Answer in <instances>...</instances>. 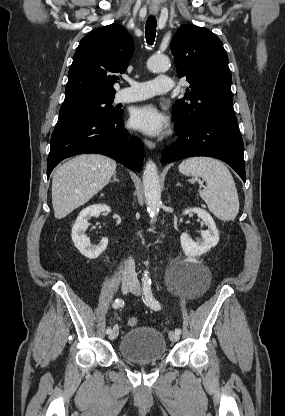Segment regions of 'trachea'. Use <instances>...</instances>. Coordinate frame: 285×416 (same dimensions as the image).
Wrapping results in <instances>:
<instances>
[{
  "label": "trachea",
  "mask_w": 285,
  "mask_h": 416,
  "mask_svg": "<svg viewBox=\"0 0 285 416\" xmlns=\"http://www.w3.org/2000/svg\"><path fill=\"white\" fill-rule=\"evenodd\" d=\"M156 27H157L156 18L150 15V17L147 18L146 27H145L146 41L149 45H153L154 43L155 36H156Z\"/></svg>",
  "instance_id": "1"
}]
</instances>
